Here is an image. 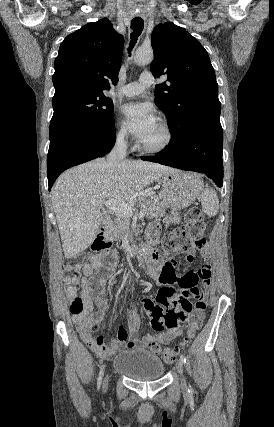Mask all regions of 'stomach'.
Masks as SVG:
<instances>
[{
	"mask_svg": "<svg viewBox=\"0 0 274 427\" xmlns=\"http://www.w3.org/2000/svg\"><path fill=\"white\" fill-rule=\"evenodd\" d=\"M195 180H200L197 174H184L179 170H174L167 176H161V180H158L162 186L160 194L165 204L172 210L171 214L165 217L166 223L179 221L178 210L187 208L194 202L196 198Z\"/></svg>",
	"mask_w": 274,
	"mask_h": 427,
	"instance_id": "0dacf381",
	"label": "stomach"
}]
</instances>
